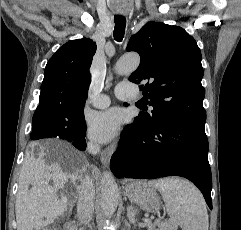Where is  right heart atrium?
<instances>
[{
  "label": "right heart atrium",
  "instance_id": "1",
  "mask_svg": "<svg viewBox=\"0 0 241 230\" xmlns=\"http://www.w3.org/2000/svg\"><path fill=\"white\" fill-rule=\"evenodd\" d=\"M88 147L91 149V150H95V145L94 144H92V143H89L88 144Z\"/></svg>",
  "mask_w": 241,
  "mask_h": 230
}]
</instances>
